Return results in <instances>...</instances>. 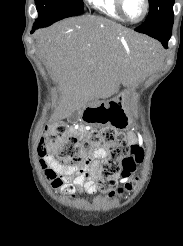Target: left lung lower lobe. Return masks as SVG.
<instances>
[{
	"mask_svg": "<svg viewBox=\"0 0 183 246\" xmlns=\"http://www.w3.org/2000/svg\"><path fill=\"white\" fill-rule=\"evenodd\" d=\"M171 32H172V26L168 28L161 29L156 32L148 33L147 35L159 40L164 48H168V41L171 37Z\"/></svg>",
	"mask_w": 183,
	"mask_h": 246,
	"instance_id": "1",
	"label": "left lung lower lobe"
}]
</instances>
